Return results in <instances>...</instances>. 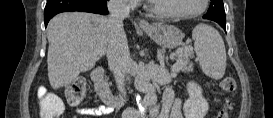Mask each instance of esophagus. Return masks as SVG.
<instances>
[{"label":"esophagus","mask_w":273,"mask_h":118,"mask_svg":"<svg viewBox=\"0 0 273 118\" xmlns=\"http://www.w3.org/2000/svg\"><path fill=\"white\" fill-rule=\"evenodd\" d=\"M139 26H140L141 28H143V29H146V28H149V27H150L148 21H146V20H144V19H142V20L139 21Z\"/></svg>","instance_id":"obj_1"}]
</instances>
